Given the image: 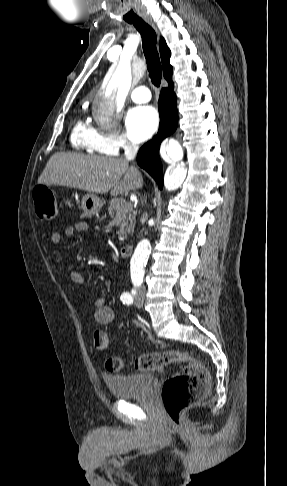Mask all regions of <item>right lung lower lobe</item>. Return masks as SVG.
I'll return each instance as SVG.
<instances>
[{
    "label": "right lung lower lobe",
    "mask_w": 287,
    "mask_h": 486,
    "mask_svg": "<svg viewBox=\"0 0 287 486\" xmlns=\"http://www.w3.org/2000/svg\"><path fill=\"white\" fill-rule=\"evenodd\" d=\"M168 83L169 87L161 90L158 102L160 114L159 132L153 140L140 148L137 155L138 165L155 179L160 189L163 187V174L159 157V146L164 138L176 130L178 122L176 95L173 92L174 85L172 81Z\"/></svg>",
    "instance_id": "obj_1"
}]
</instances>
